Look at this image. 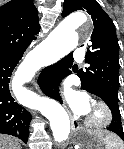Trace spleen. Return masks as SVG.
Listing matches in <instances>:
<instances>
[{
    "label": "spleen",
    "mask_w": 124,
    "mask_h": 149,
    "mask_svg": "<svg viewBox=\"0 0 124 149\" xmlns=\"http://www.w3.org/2000/svg\"><path fill=\"white\" fill-rule=\"evenodd\" d=\"M105 143H106V149H118L120 145V142L116 136L115 139L113 140L106 138Z\"/></svg>",
    "instance_id": "1"
}]
</instances>
